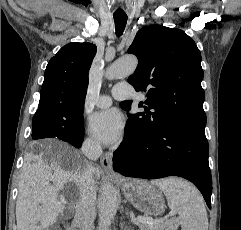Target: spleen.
Returning <instances> with one entry per match:
<instances>
[{"label": "spleen", "mask_w": 241, "mask_h": 230, "mask_svg": "<svg viewBox=\"0 0 241 230\" xmlns=\"http://www.w3.org/2000/svg\"><path fill=\"white\" fill-rule=\"evenodd\" d=\"M166 196L169 208L179 215L182 230H208L203 198L189 182L179 178L152 181Z\"/></svg>", "instance_id": "1"}]
</instances>
